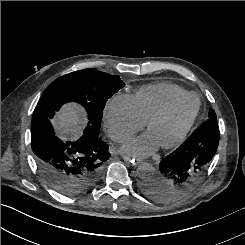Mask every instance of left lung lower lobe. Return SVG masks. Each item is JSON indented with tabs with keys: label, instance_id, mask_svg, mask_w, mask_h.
Listing matches in <instances>:
<instances>
[{
	"label": "left lung lower lobe",
	"instance_id": "1",
	"mask_svg": "<svg viewBox=\"0 0 245 245\" xmlns=\"http://www.w3.org/2000/svg\"><path fill=\"white\" fill-rule=\"evenodd\" d=\"M219 136L217 121L206 120L174 152L162 159L156 178L142 185L143 192L158 201L184 193L196 183L214 157Z\"/></svg>",
	"mask_w": 245,
	"mask_h": 245
}]
</instances>
